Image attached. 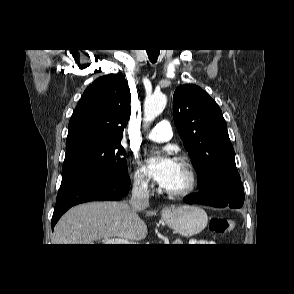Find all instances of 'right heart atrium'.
Returning <instances> with one entry per match:
<instances>
[{
  "instance_id": "obj_1",
  "label": "right heart atrium",
  "mask_w": 294,
  "mask_h": 294,
  "mask_svg": "<svg viewBox=\"0 0 294 294\" xmlns=\"http://www.w3.org/2000/svg\"><path fill=\"white\" fill-rule=\"evenodd\" d=\"M133 186L140 191H147L150 187V179L137 167L132 176Z\"/></svg>"
}]
</instances>
